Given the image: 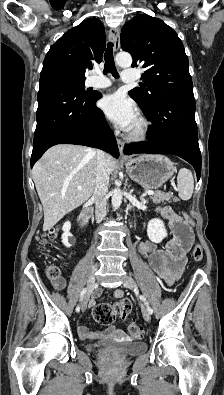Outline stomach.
Instances as JSON below:
<instances>
[{"label":"stomach","mask_w":224,"mask_h":395,"mask_svg":"<svg viewBox=\"0 0 224 395\" xmlns=\"http://www.w3.org/2000/svg\"><path fill=\"white\" fill-rule=\"evenodd\" d=\"M129 177L146 189H159L170 179L174 163L162 155H140L126 162Z\"/></svg>","instance_id":"0dacf381"}]
</instances>
